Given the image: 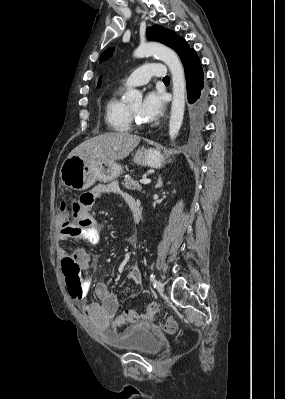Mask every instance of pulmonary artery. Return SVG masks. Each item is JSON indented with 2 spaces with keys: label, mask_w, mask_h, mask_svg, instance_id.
Segmentation results:
<instances>
[{
  "label": "pulmonary artery",
  "mask_w": 285,
  "mask_h": 399,
  "mask_svg": "<svg viewBox=\"0 0 285 399\" xmlns=\"http://www.w3.org/2000/svg\"><path fill=\"white\" fill-rule=\"evenodd\" d=\"M167 76L166 66L163 63H146L134 70L123 80L124 86H138L147 83L152 77L164 78Z\"/></svg>",
  "instance_id": "pulmonary-artery-1"
}]
</instances>
